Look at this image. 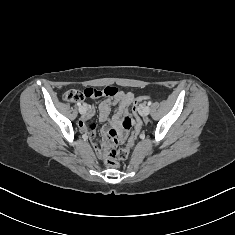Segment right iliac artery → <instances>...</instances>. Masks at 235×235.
I'll return each instance as SVG.
<instances>
[{
	"instance_id": "obj_1",
	"label": "right iliac artery",
	"mask_w": 235,
	"mask_h": 235,
	"mask_svg": "<svg viewBox=\"0 0 235 235\" xmlns=\"http://www.w3.org/2000/svg\"><path fill=\"white\" fill-rule=\"evenodd\" d=\"M77 105L80 107V106H81V103H77Z\"/></svg>"
}]
</instances>
